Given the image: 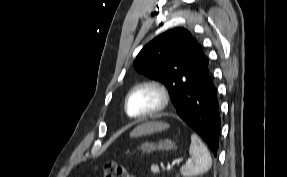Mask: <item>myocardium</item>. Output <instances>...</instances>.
Listing matches in <instances>:
<instances>
[{"label": "myocardium", "mask_w": 287, "mask_h": 177, "mask_svg": "<svg viewBox=\"0 0 287 177\" xmlns=\"http://www.w3.org/2000/svg\"><path fill=\"white\" fill-rule=\"evenodd\" d=\"M140 89H150L154 91L158 96V103L150 111L144 114H141V115L134 116L129 113L128 104H129L131 95ZM170 101H171L170 93L164 84L156 80H147V81H143L135 85L129 90V92L127 93L125 97L124 109H125L126 114L129 117L133 119H137V120H142V119L153 117L159 114L160 112L164 111L169 106Z\"/></svg>", "instance_id": "f54148a6"}]
</instances>
